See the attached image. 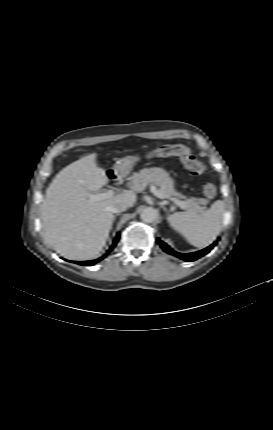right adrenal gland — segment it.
Segmentation results:
<instances>
[{"instance_id": "right-adrenal-gland-1", "label": "right adrenal gland", "mask_w": 273, "mask_h": 430, "mask_svg": "<svg viewBox=\"0 0 273 430\" xmlns=\"http://www.w3.org/2000/svg\"><path fill=\"white\" fill-rule=\"evenodd\" d=\"M117 215H119V214H117ZM115 219H116V215L113 217V222L115 221Z\"/></svg>"}]
</instances>
